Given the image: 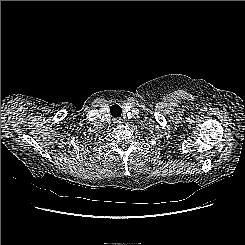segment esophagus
Returning <instances> with one entry per match:
<instances>
[{
	"label": "esophagus",
	"instance_id": "obj_1",
	"mask_svg": "<svg viewBox=\"0 0 245 245\" xmlns=\"http://www.w3.org/2000/svg\"><path fill=\"white\" fill-rule=\"evenodd\" d=\"M114 123H115L116 125H119V124L122 123V120H121L120 118H116V119H114Z\"/></svg>",
	"mask_w": 245,
	"mask_h": 245
}]
</instances>
